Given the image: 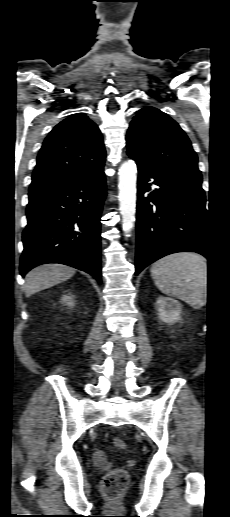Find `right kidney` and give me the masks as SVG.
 <instances>
[{"label": "right kidney", "mask_w": 230, "mask_h": 517, "mask_svg": "<svg viewBox=\"0 0 230 517\" xmlns=\"http://www.w3.org/2000/svg\"><path fill=\"white\" fill-rule=\"evenodd\" d=\"M62 302L66 303L68 306H73L72 297L70 295H64Z\"/></svg>", "instance_id": "obj_1"}]
</instances>
